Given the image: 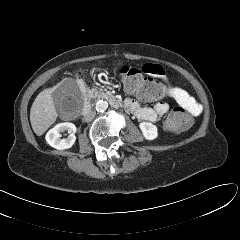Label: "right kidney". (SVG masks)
<instances>
[{
	"mask_svg": "<svg viewBox=\"0 0 240 240\" xmlns=\"http://www.w3.org/2000/svg\"><path fill=\"white\" fill-rule=\"evenodd\" d=\"M68 131L70 135L67 138L61 139V132ZM76 126L73 123L65 122L57 124L54 128L50 129L46 134L47 143L58 150L71 148L75 143Z\"/></svg>",
	"mask_w": 240,
	"mask_h": 240,
	"instance_id": "1",
	"label": "right kidney"
}]
</instances>
